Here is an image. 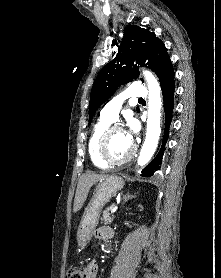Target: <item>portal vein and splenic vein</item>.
<instances>
[{"mask_svg":"<svg viewBox=\"0 0 221 278\" xmlns=\"http://www.w3.org/2000/svg\"><path fill=\"white\" fill-rule=\"evenodd\" d=\"M118 209V206L111 207V213H115Z\"/></svg>","mask_w":221,"mask_h":278,"instance_id":"1","label":"portal vein and splenic vein"}]
</instances>
